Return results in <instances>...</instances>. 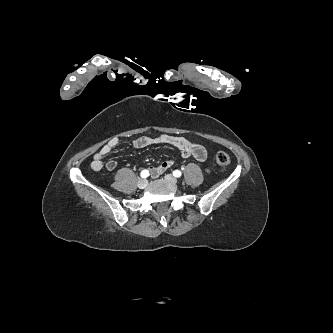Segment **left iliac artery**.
Returning a JSON list of instances; mask_svg holds the SVG:
<instances>
[{"label":"left iliac artery","mask_w":333,"mask_h":333,"mask_svg":"<svg viewBox=\"0 0 333 333\" xmlns=\"http://www.w3.org/2000/svg\"><path fill=\"white\" fill-rule=\"evenodd\" d=\"M173 175H174L175 177H180V176L182 175V173H181V171H179V170H175V171H173Z\"/></svg>","instance_id":"left-iliac-artery-1"}]
</instances>
